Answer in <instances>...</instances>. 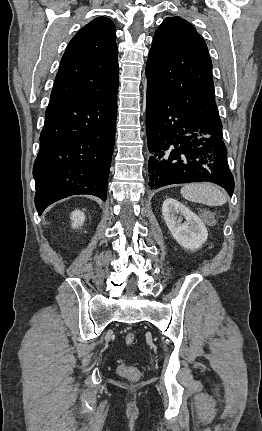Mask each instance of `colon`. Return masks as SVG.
I'll return each instance as SVG.
<instances>
[{
	"label": "colon",
	"instance_id": "1",
	"mask_svg": "<svg viewBox=\"0 0 262 431\" xmlns=\"http://www.w3.org/2000/svg\"><path fill=\"white\" fill-rule=\"evenodd\" d=\"M137 339V335L135 332H128L125 336V342L128 345L133 344ZM117 372L120 376L130 380V381H137L140 379V372L139 370L134 367L127 365L124 362H120L117 367Z\"/></svg>",
	"mask_w": 262,
	"mask_h": 431
}]
</instances>
